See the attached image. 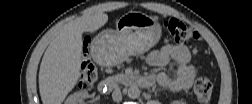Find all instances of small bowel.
Wrapping results in <instances>:
<instances>
[{
	"instance_id": "c3829d8e",
	"label": "small bowel",
	"mask_w": 252,
	"mask_h": 104,
	"mask_svg": "<svg viewBox=\"0 0 252 104\" xmlns=\"http://www.w3.org/2000/svg\"><path fill=\"white\" fill-rule=\"evenodd\" d=\"M189 49L180 44H167L159 50L151 51L146 61L155 67H163L174 62L172 72L162 71L156 75L157 82L170 91H179L191 87L197 70L190 61Z\"/></svg>"
}]
</instances>
